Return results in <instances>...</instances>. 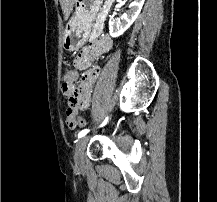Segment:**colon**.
Wrapping results in <instances>:
<instances>
[{
	"mask_svg": "<svg viewBox=\"0 0 217 202\" xmlns=\"http://www.w3.org/2000/svg\"><path fill=\"white\" fill-rule=\"evenodd\" d=\"M78 79H79V74L75 71H70L64 77L63 86H62V92L67 99L68 110H69V113L67 114L66 117V123L71 129H74V127L72 126V122L70 121L73 118L71 116L73 110L81 108L80 106L81 102H89V96H81L84 95V90H76V88H82V87H76V82H78ZM77 122H78L77 126L82 128L86 124L84 118H79Z\"/></svg>",
	"mask_w": 217,
	"mask_h": 202,
	"instance_id": "5ec220e1",
	"label": "colon"
}]
</instances>
